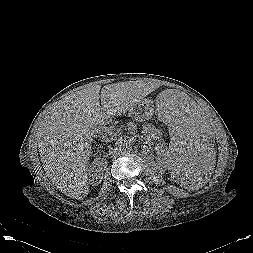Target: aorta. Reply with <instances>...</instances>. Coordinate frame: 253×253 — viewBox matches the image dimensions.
Masks as SVG:
<instances>
[{"instance_id":"obj_1","label":"aorta","mask_w":253,"mask_h":253,"mask_svg":"<svg viewBox=\"0 0 253 253\" xmlns=\"http://www.w3.org/2000/svg\"><path fill=\"white\" fill-rule=\"evenodd\" d=\"M118 148L120 152L123 154L129 153L132 150L131 143L128 142L127 140H122L118 142Z\"/></svg>"}]
</instances>
